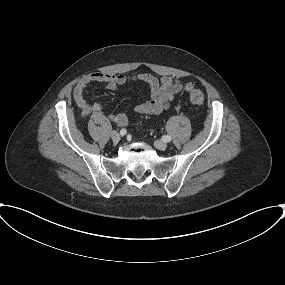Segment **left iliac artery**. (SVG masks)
Returning a JSON list of instances; mask_svg holds the SVG:
<instances>
[{
    "instance_id": "1",
    "label": "left iliac artery",
    "mask_w": 285,
    "mask_h": 285,
    "mask_svg": "<svg viewBox=\"0 0 285 285\" xmlns=\"http://www.w3.org/2000/svg\"><path fill=\"white\" fill-rule=\"evenodd\" d=\"M171 139H172V137H171V136H168V135L163 137V140H164L165 142H170Z\"/></svg>"
}]
</instances>
